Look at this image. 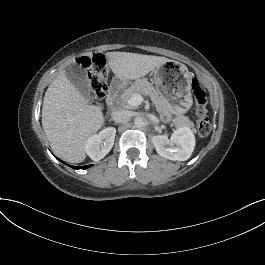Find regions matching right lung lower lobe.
<instances>
[{"label":"right lung lower lobe","instance_id":"1","mask_svg":"<svg viewBox=\"0 0 265 265\" xmlns=\"http://www.w3.org/2000/svg\"><path fill=\"white\" fill-rule=\"evenodd\" d=\"M91 165H88V166H81V167H78V166H71L73 169H86L88 167H90Z\"/></svg>","mask_w":265,"mask_h":265}]
</instances>
